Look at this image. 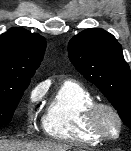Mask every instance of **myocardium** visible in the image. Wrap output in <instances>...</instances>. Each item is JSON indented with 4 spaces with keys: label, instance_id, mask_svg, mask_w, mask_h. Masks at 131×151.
<instances>
[{
    "label": "myocardium",
    "instance_id": "myocardium-1",
    "mask_svg": "<svg viewBox=\"0 0 131 151\" xmlns=\"http://www.w3.org/2000/svg\"><path fill=\"white\" fill-rule=\"evenodd\" d=\"M107 112L111 114L117 122V132L107 133L100 124V116ZM85 121L88 129L102 140H115L120 137L123 130V120L118 110L106 102H94L86 111Z\"/></svg>",
    "mask_w": 131,
    "mask_h": 151
}]
</instances>
